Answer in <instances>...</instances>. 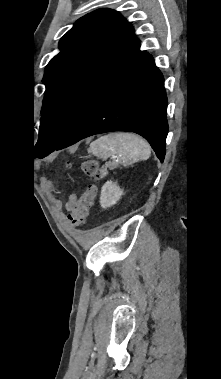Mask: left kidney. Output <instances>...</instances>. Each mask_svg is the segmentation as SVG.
I'll use <instances>...</instances> for the list:
<instances>
[{
    "label": "left kidney",
    "instance_id": "1",
    "mask_svg": "<svg viewBox=\"0 0 221 379\" xmlns=\"http://www.w3.org/2000/svg\"><path fill=\"white\" fill-rule=\"evenodd\" d=\"M123 195V190L114 182H106L102 189L100 195V205L102 208H108L116 204L121 196Z\"/></svg>",
    "mask_w": 221,
    "mask_h": 379
}]
</instances>
